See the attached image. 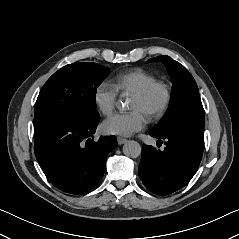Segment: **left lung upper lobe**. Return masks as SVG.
I'll return each instance as SVG.
<instances>
[{
    "label": "left lung upper lobe",
    "instance_id": "obj_1",
    "mask_svg": "<svg viewBox=\"0 0 239 239\" xmlns=\"http://www.w3.org/2000/svg\"><path fill=\"white\" fill-rule=\"evenodd\" d=\"M161 61L171 75L170 107L150 134L165 135L185 124L205 125L204 110L197 84L192 75L179 62L169 56H158L147 62Z\"/></svg>",
    "mask_w": 239,
    "mask_h": 239
}]
</instances>
